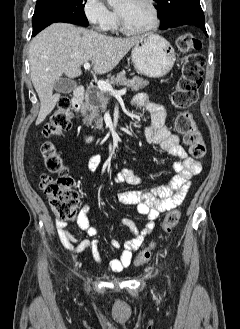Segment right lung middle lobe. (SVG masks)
Returning <instances> with one entry per match:
<instances>
[{
  "instance_id": "1",
  "label": "right lung middle lobe",
  "mask_w": 240,
  "mask_h": 329,
  "mask_svg": "<svg viewBox=\"0 0 240 329\" xmlns=\"http://www.w3.org/2000/svg\"><path fill=\"white\" fill-rule=\"evenodd\" d=\"M87 0H37L33 27L45 21L67 22L88 26L84 13Z\"/></svg>"
}]
</instances>
